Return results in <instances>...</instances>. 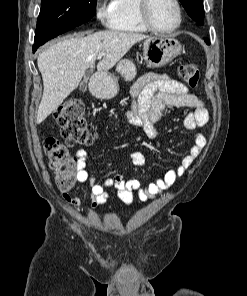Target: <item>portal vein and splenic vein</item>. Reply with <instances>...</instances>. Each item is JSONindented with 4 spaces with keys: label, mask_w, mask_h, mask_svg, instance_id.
<instances>
[{
    "label": "portal vein and splenic vein",
    "mask_w": 247,
    "mask_h": 296,
    "mask_svg": "<svg viewBox=\"0 0 247 296\" xmlns=\"http://www.w3.org/2000/svg\"><path fill=\"white\" fill-rule=\"evenodd\" d=\"M103 56H104L103 53H99V54L97 55V58H98V59H101Z\"/></svg>",
    "instance_id": "portal-vein-and-splenic-vein-1"
}]
</instances>
